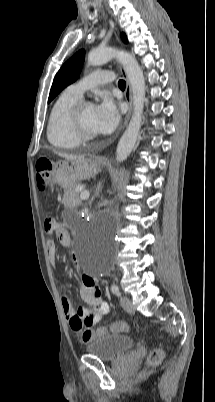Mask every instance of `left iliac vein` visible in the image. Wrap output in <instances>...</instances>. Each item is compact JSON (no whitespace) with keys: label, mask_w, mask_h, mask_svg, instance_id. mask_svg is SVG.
<instances>
[{"label":"left iliac vein","mask_w":215,"mask_h":402,"mask_svg":"<svg viewBox=\"0 0 215 402\" xmlns=\"http://www.w3.org/2000/svg\"><path fill=\"white\" fill-rule=\"evenodd\" d=\"M120 303H121L122 308H123L125 311H127V312H133V311H134L132 302H131V300H130L129 297H127V296H122V297L120 298Z\"/></svg>","instance_id":"4c4485c4"}]
</instances>
